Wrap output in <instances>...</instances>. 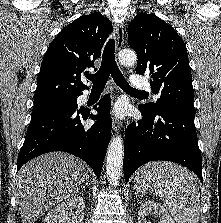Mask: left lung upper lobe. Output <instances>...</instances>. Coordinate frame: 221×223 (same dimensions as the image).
Instances as JSON below:
<instances>
[{"mask_svg":"<svg viewBox=\"0 0 221 223\" xmlns=\"http://www.w3.org/2000/svg\"><path fill=\"white\" fill-rule=\"evenodd\" d=\"M128 43L136 51V73H149L156 103L141 104L157 113L178 108L196 113L194 90L185 44L174 28L155 14L139 13L128 27Z\"/></svg>","mask_w":221,"mask_h":223,"instance_id":"obj_1","label":"left lung upper lobe"}]
</instances>
